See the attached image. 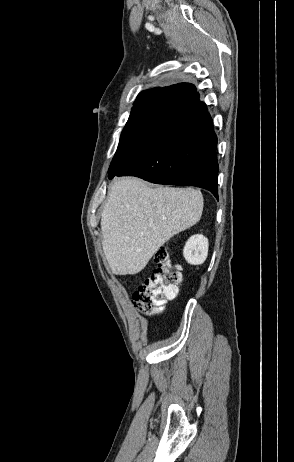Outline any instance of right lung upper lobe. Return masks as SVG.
I'll return each instance as SVG.
<instances>
[{"label":"right lung upper lobe","instance_id":"obj_1","mask_svg":"<svg viewBox=\"0 0 294 462\" xmlns=\"http://www.w3.org/2000/svg\"><path fill=\"white\" fill-rule=\"evenodd\" d=\"M192 91H194L195 94H198L194 85L189 83H180L163 88L156 87L142 91L134 102V106L168 96H177L181 99L189 100L188 95L191 94Z\"/></svg>","mask_w":294,"mask_h":462}]
</instances>
